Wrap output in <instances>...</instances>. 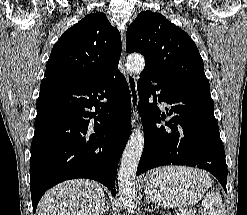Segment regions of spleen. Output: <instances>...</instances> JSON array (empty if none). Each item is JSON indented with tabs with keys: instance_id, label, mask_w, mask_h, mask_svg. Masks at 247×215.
<instances>
[{
	"instance_id": "obj_1",
	"label": "spleen",
	"mask_w": 247,
	"mask_h": 215,
	"mask_svg": "<svg viewBox=\"0 0 247 215\" xmlns=\"http://www.w3.org/2000/svg\"><path fill=\"white\" fill-rule=\"evenodd\" d=\"M206 180L210 184L209 178L206 176ZM202 206L206 209L204 215H222V198L217 192H211L202 201Z\"/></svg>"
}]
</instances>
